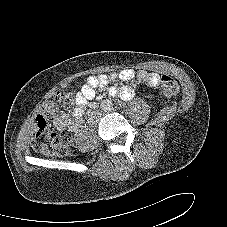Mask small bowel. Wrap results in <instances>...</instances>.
<instances>
[{
    "label": "small bowel",
    "mask_w": 227,
    "mask_h": 227,
    "mask_svg": "<svg viewBox=\"0 0 227 227\" xmlns=\"http://www.w3.org/2000/svg\"><path fill=\"white\" fill-rule=\"evenodd\" d=\"M116 80L124 82L131 81V85L122 87L121 89L109 87V95L112 97L120 96L123 99H131L134 95L135 86L140 84L156 86L159 84L160 75L156 72H148L145 70L135 72L132 69H123L119 72H112L109 74L90 75L80 90L76 93L72 116L63 114L55 118L53 120L54 126L60 131H78L82 124V118L88 102L96 96V89H104Z\"/></svg>",
    "instance_id": "small-bowel-1"
}]
</instances>
